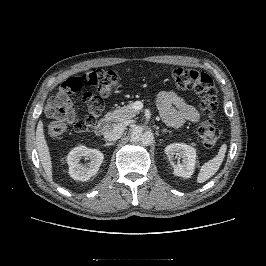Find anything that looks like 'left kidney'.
Segmentation results:
<instances>
[{
	"mask_svg": "<svg viewBox=\"0 0 266 266\" xmlns=\"http://www.w3.org/2000/svg\"><path fill=\"white\" fill-rule=\"evenodd\" d=\"M165 153L173 167V174L189 178L194 172L196 163V149L185 143H173L165 148ZM182 158V163L175 164L173 157Z\"/></svg>",
	"mask_w": 266,
	"mask_h": 266,
	"instance_id": "left-kidney-1",
	"label": "left kidney"
}]
</instances>
